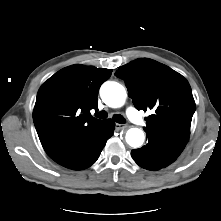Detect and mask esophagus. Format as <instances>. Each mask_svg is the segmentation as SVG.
I'll use <instances>...</instances> for the list:
<instances>
[{
    "instance_id": "34e87169",
    "label": "esophagus",
    "mask_w": 221,
    "mask_h": 221,
    "mask_svg": "<svg viewBox=\"0 0 221 221\" xmlns=\"http://www.w3.org/2000/svg\"><path fill=\"white\" fill-rule=\"evenodd\" d=\"M127 127V125H125V124H116L115 125V128H116V130H121V129H125Z\"/></svg>"
}]
</instances>
